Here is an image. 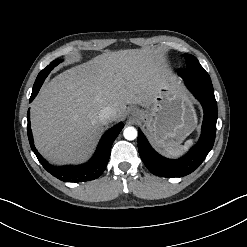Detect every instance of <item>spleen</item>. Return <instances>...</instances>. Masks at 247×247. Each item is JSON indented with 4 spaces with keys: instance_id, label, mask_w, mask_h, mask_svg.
Returning <instances> with one entry per match:
<instances>
[{
    "instance_id": "spleen-1",
    "label": "spleen",
    "mask_w": 247,
    "mask_h": 247,
    "mask_svg": "<svg viewBox=\"0 0 247 247\" xmlns=\"http://www.w3.org/2000/svg\"><path fill=\"white\" fill-rule=\"evenodd\" d=\"M193 145V139H189L184 145L166 147L164 152L170 157H178L186 152Z\"/></svg>"
}]
</instances>
